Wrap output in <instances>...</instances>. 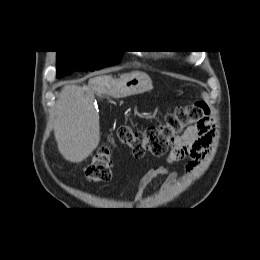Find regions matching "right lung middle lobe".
Returning a JSON list of instances; mask_svg holds the SVG:
<instances>
[{
  "instance_id": "1",
  "label": "right lung middle lobe",
  "mask_w": 260,
  "mask_h": 260,
  "mask_svg": "<svg viewBox=\"0 0 260 260\" xmlns=\"http://www.w3.org/2000/svg\"><path fill=\"white\" fill-rule=\"evenodd\" d=\"M57 78L78 71H94L115 65L121 51H57Z\"/></svg>"
}]
</instances>
